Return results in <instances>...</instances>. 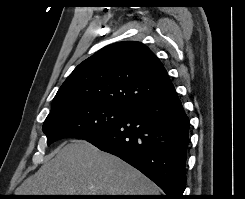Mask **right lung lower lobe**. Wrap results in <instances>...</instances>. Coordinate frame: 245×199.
Here are the masks:
<instances>
[{
  "mask_svg": "<svg viewBox=\"0 0 245 199\" xmlns=\"http://www.w3.org/2000/svg\"><path fill=\"white\" fill-rule=\"evenodd\" d=\"M189 119L176 91L128 111L115 125L86 139L155 182L165 199H183Z\"/></svg>",
  "mask_w": 245,
  "mask_h": 199,
  "instance_id": "1",
  "label": "right lung lower lobe"
}]
</instances>
